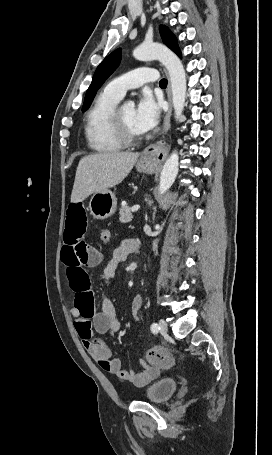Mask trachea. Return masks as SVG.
I'll list each match as a JSON object with an SVG mask.
<instances>
[{
    "mask_svg": "<svg viewBox=\"0 0 272 455\" xmlns=\"http://www.w3.org/2000/svg\"><path fill=\"white\" fill-rule=\"evenodd\" d=\"M160 87H166L167 86V80L166 79H161L159 82Z\"/></svg>",
    "mask_w": 272,
    "mask_h": 455,
    "instance_id": "obj_1",
    "label": "trachea"
}]
</instances>
